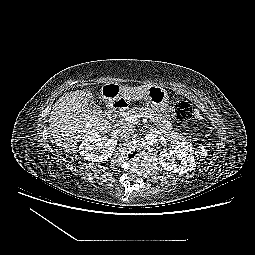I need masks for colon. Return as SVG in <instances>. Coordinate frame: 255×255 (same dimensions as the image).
Returning a JSON list of instances; mask_svg holds the SVG:
<instances>
[{"mask_svg": "<svg viewBox=\"0 0 255 255\" xmlns=\"http://www.w3.org/2000/svg\"><path fill=\"white\" fill-rule=\"evenodd\" d=\"M174 115L180 120H188L193 115V109L187 102H178L173 107Z\"/></svg>", "mask_w": 255, "mask_h": 255, "instance_id": "obj_1", "label": "colon"}]
</instances>
